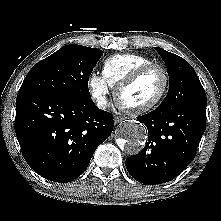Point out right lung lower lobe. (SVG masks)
Returning a JSON list of instances; mask_svg holds the SVG:
<instances>
[{
    "label": "right lung lower lobe",
    "instance_id": "obj_1",
    "mask_svg": "<svg viewBox=\"0 0 221 221\" xmlns=\"http://www.w3.org/2000/svg\"><path fill=\"white\" fill-rule=\"evenodd\" d=\"M113 115L91 99L19 92L15 132L28 165L42 177L70 182L87 168L113 129Z\"/></svg>",
    "mask_w": 221,
    "mask_h": 221
}]
</instances>
